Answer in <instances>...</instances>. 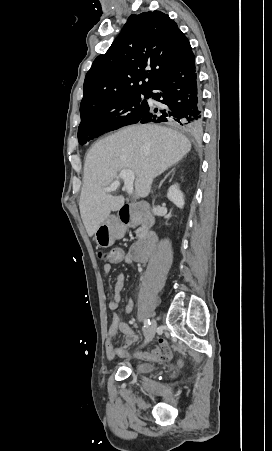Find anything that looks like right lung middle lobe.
<instances>
[{
  "label": "right lung middle lobe",
  "instance_id": "obj_1",
  "mask_svg": "<svg viewBox=\"0 0 272 451\" xmlns=\"http://www.w3.org/2000/svg\"><path fill=\"white\" fill-rule=\"evenodd\" d=\"M148 98V93L144 94ZM149 106L142 95H132L110 100L94 106L82 113L78 128V141L85 144L105 132L137 123L147 112Z\"/></svg>",
  "mask_w": 272,
  "mask_h": 451
}]
</instances>
